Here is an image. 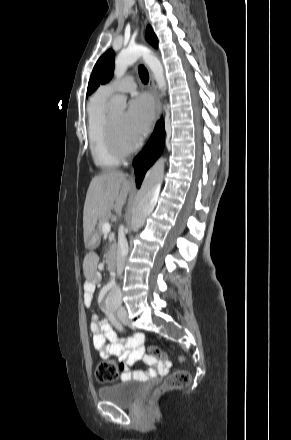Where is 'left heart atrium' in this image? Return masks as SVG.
I'll return each instance as SVG.
<instances>
[{"mask_svg":"<svg viewBox=\"0 0 291 440\" xmlns=\"http://www.w3.org/2000/svg\"><path fill=\"white\" fill-rule=\"evenodd\" d=\"M153 118V106L150 99L145 96L133 98L124 116V125L127 137L135 142L145 135Z\"/></svg>","mask_w":291,"mask_h":440,"instance_id":"left-heart-atrium-1","label":"left heart atrium"}]
</instances>
